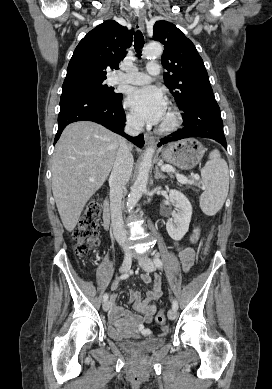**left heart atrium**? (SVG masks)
<instances>
[{
  "label": "left heart atrium",
  "instance_id": "left-heart-atrium-1",
  "mask_svg": "<svg viewBox=\"0 0 272 389\" xmlns=\"http://www.w3.org/2000/svg\"><path fill=\"white\" fill-rule=\"evenodd\" d=\"M136 115L149 124L160 123L167 110V101L163 92L154 86L133 88L126 101Z\"/></svg>",
  "mask_w": 272,
  "mask_h": 389
}]
</instances>
